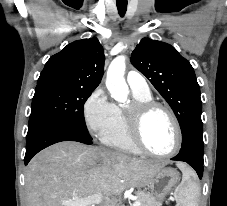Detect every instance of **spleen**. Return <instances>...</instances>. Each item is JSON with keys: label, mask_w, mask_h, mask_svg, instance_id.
Segmentation results:
<instances>
[{"label": "spleen", "mask_w": 227, "mask_h": 206, "mask_svg": "<svg viewBox=\"0 0 227 206\" xmlns=\"http://www.w3.org/2000/svg\"><path fill=\"white\" fill-rule=\"evenodd\" d=\"M180 169L183 173L182 182L175 190L174 196L181 206H198L199 185L190 179L193 174L190 170L185 167Z\"/></svg>", "instance_id": "3e777b00"}]
</instances>
